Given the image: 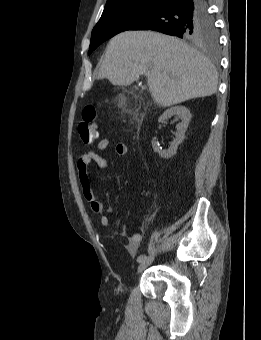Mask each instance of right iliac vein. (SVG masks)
Here are the masks:
<instances>
[{"label":"right iliac vein","mask_w":261,"mask_h":340,"mask_svg":"<svg viewBox=\"0 0 261 340\" xmlns=\"http://www.w3.org/2000/svg\"><path fill=\"white\" fill-rule=\"evenodd\" d=\"M156 259V253H152L149 255L143 262H141L137 268V272L141 273L144 271L147 267H149Z\"/></svg>","instance_id":"63e3f726"}]
</instances>
